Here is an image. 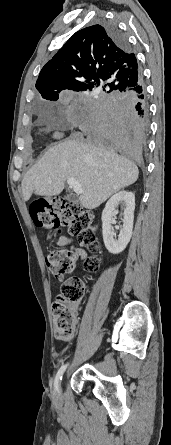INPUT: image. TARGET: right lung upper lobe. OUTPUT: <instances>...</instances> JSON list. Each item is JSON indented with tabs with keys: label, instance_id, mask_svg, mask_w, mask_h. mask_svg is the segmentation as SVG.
Instances as JSON below:
<instances>
[{
	"label": "right lung upper lobe",
	"instance_id": "cb5924a9",
	"mask_svg": "<svg viewBox=\"0 0 171 445\" xmlns=\"http://www.w3.org/2000/svg\"><path fill=\"white\" fill-rule=\"evenodd\" d=\"M142 82L136 57L118 45L103 25L76 32L42 68L36 88L47 100L61 90L90 91L103 85L106 94L126 93Z\"/></svg>",
	"mask_w": 171,
	"mask_h": 445
}]
</instances>
